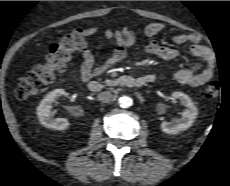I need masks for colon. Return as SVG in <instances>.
I'll return each mask as SVG.
<instances>
[{
	"label": "colon",
	"mask_w": 230,
	"mask_h": 186,
	"mask_svg": "<svg viewBox=\"0 0 230 186\" xmlns=\"http://www.w3.org/2000/svg\"><path fill=\"white\" fill-rule=\"evenodd\" d=\"M87 46L86 33L82 30L62 36L56 43L52 44L46 61L34 66L29 72L22 76L16 87V96L19 99L38 96L47 90L54 81L57 72L66 68L72 55ZM220 92V84L217 81L210 82L205 95L208 98L216 97Z\"/></svg>",
	"instance_id": "obj_1"
}]
</instances>
